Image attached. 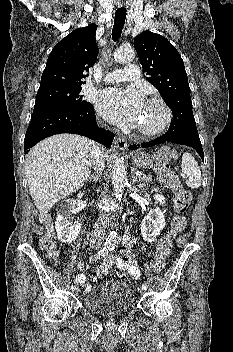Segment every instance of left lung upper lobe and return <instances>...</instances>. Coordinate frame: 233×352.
<instances>
[{"mask_svg": "<svg viewBox=\"0 0 233 352\" xmlns=\"http://www.w3.org/2000/svg\"><path fill=\"white\" fill-rule=\"evenodd\" d=\"M134 46L143 72L148 75L146 79L172 110L168 131L197 130L184 62L176 48L165 37L150 31L136 36Z\"/></svg>", "mask_w": 233, "mask_h": 352, "instance_id": "left-lung-upper-lobe-1", "label": "left lung upper lobe"}]
</instances>
